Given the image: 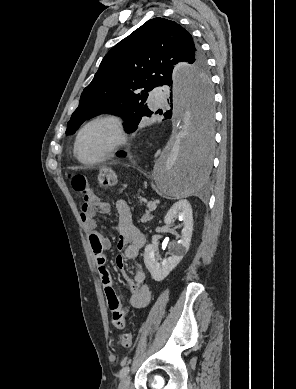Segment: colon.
<instances>
[{
  "label": "colon",
  "mask_w": 296,
  "mask_h": 389,
  "mask_svg": "<svg viewBox=\"0 0 296 389\" xmlns=\"http://www.w3.org/2000/svg\"><path fill=\"white\" fill-rule=\"evenodd\" d=\"M97 183L102 188H112L117 184V175L110 167H102L98 171ZM71 185L75 191L80 194L88 195L90 193V183L88 178L82 174H76L71 177ZM119 315L115 317L119 319ZM133 336L131 333L121 335L120 342L124 348H129L132 345Z\"/></svg>",
  "instance_id": "5ec220e1"
}]
</instances>
